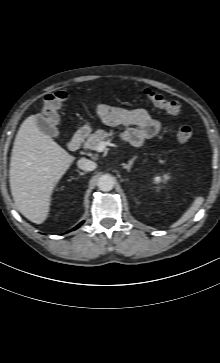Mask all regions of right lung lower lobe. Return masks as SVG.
<instances>
[{
	"instance_id": "obj_1",
	"label": "right lung lower lobe",
	"mask_w": 220,
	"mask_h": 363,
	"mask_svg": "<svg viewBox=\"0 0 220 363\" xmlns=\"http://www.w3.org/2000/svg\"><path fill=\"white\" fill-rule=\"evenodd\" d=\"M83 224V222H81L79 225H77L75 228H73L72 230H75L77 228H79L81 225Z\"/></svg>"
}]
</instances>
